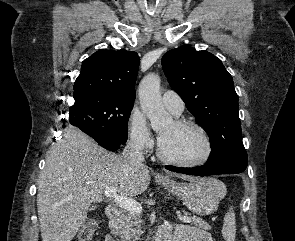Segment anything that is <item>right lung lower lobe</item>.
<instances>
[{"instance_id": "98d812e1", "label": "right lung lower lobe", "mask_w": 295, "mask_h": 241, "mask_svg": "<svg viewBox=\"0 0 295 241\" xmlns=\"http://www.w3.org/2000/svg\"><path fill=\"white\" fill-rule=\"evenodd\" d=\"M95 141L98 144H100L102 147H104L105 149L110 150V151H116L120 147V144H112V143H108V142H105V141H102L99 139H95Z\"/></svg>"}]
</instances>
